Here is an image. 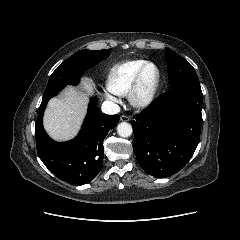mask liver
Masks as SVG:
<instances>
[{"mask_svg": "<svg viewBox=\"0 0 240 240\" xmlns=\"http://www.w3.org/2000/svg\"><path fill=\"white\" fill-rule=\"evenodd\" d=\"M83 89L94 91L93 82L84 78ZM87 97L68 86L58 98H52L44 115V127L51 138L57 141L72 139L79 131L86 113Z\"/></svg>", "mask_w": 240, "mask_h": 240, "instance_id": "6515ba94", "label": "liver"}]
</instances>
